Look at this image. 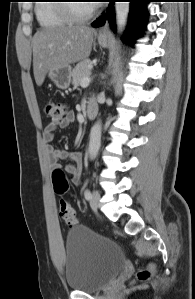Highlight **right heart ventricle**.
I'll return each mask as SVG.
<instances>
[{
    "label": "right heart ventricle",
    "mask_w": 195,
    "mask_h": 299,
    "mask_svg": "<svg viewBox=\"0 0 195 299\" xmlns=\"http://www.w3.org/2000/svg\"><path fill=\"white\" fill-rule=\"evenodd\" d=\"M58 0H41L35 6V15L40 26L55 28L68 25L71 21L62 12Z\"/></svg>",
    "instance_id": "1"
}]
</instances>
